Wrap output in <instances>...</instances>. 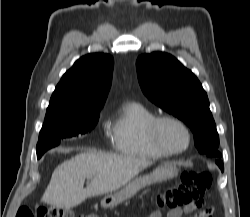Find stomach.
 I'll list each match as a JSON object with an SVG mask.
<instances>
[{
    "label": "stomach",
    "instance_id": "1",
    "mask_svg": "<svg viewBox=\"0 0 250 217\" xmlns=\"http://www.w3.org/2000/svg\"><path fill=\"white\" fill-rule=\"evenodd\" d=\"M177 174V168L174 164L166 163L157 167L151 174L134 178L121 191L106 195L101 200L103 208H113L120 203L132 198L142 188L158 181L166 180Z\"/></svg>",
    "mask_w": 250,
    "mask_h": 217
}]
</instances>
